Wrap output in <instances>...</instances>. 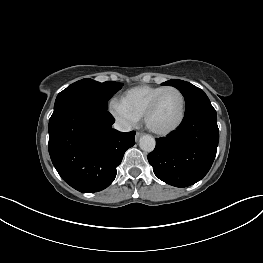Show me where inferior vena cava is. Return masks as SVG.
<instances>
[{"mask_svg":"<svg viewBox=\"0 0 263 263\" xmlns=\"http://www.w3.org/2000/svg\"><path fill=\"white\" fill-rule=\"evenodd\" d=\"M114 128L118 131L121 132H129L131 131V126L130 124L126 123V122H122V121H117L114 123Z\"/></svg>","mask_w":263,"mask_h":263,"instance_id":"1","label":"inferior vena cava"}]
</instances>
